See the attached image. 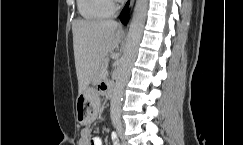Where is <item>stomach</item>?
<instances>
[{
	"mask_svg": "<svg viewBox=\"0 0 243 145\" xmlns=\"http://www.w3.org/2000/svg\"><path fill=\"white\" fill-rule=\"evenodd\" d=\"M99 103H101V94H89L86 91L81 93L77 99L76 119L81 124H88L95 120Z\"/></svg>",
	"mask_w": 243,
	"mask_h": 145,
	"instance_id": "0dacf381",
	"label": "stomach"
}]
</instances>
